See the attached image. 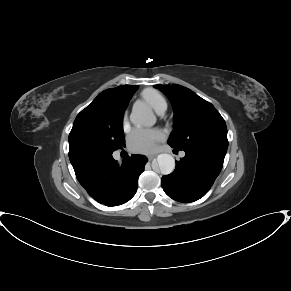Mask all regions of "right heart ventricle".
I'll return each instance as SVG.
<instances>
[{
    "label": "right heart ventricle",
    "instance_id": "right-heart-ventricle-1",
    "mask_svg": "<svg viewBox=\"0 0 291 291\" xmlns=\"http://www.w3.org/2000/svg\"><path fill=\"white\" fill-rule=\"evenodd\" d=\"M141 95L157 112L160 113L166 109V101L158 91L148 88Z\"/></svg>",
    "mask_w": 291,
    "mask_h": 291
}]
</instances>
